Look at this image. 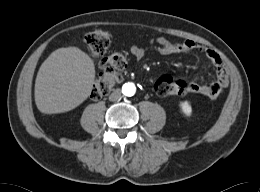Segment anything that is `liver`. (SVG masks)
Segmentation results:
<instances>
[{
  "label": "liver",
  "instance_id": "1",
  "mask_svg": "<svg viewBox=\"0 0 260 192\" xmlns=\"http://www.w3.org/2000/svg\"><path fill=\"white\" fill-rule=\"evenodd\" d=\"M95 65L78 47L59 48L42 63L35 80V103L45 114L70 111L91 94Z\"/></svg>",
  "mask_w": 260,
  "mask_h": 192
}]
</instances>
